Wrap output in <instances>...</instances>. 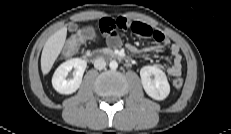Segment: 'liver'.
<instances>
[{"instance_id":"6515ba94","label":"liver","mask_w":231,"mask_h":134,"mask_svg":"<svg viewBox=\"0 0 231 134\" xmlns=\"http://www.w3.org/2000/svg\"><path fill=\"white\" fill-rule=\"evenodd\" d=\"M67 36V27H63L51 35L44 44L41 54V70L44 75L51 70L55 60L61 53Z\"/></svg>"}]
</instances>
